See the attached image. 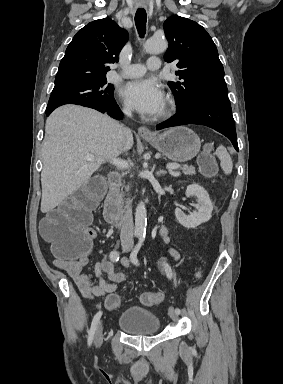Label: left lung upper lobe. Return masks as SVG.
Returning <instances> with one entry per match:
<instances>
[{
    "instance_id": "obj_1",
    "label": "left lung upper lobe",
    "mask_w": 283,
    "mask_h": 384,
    "mask_svg": "<svg viewBox=\"0 0 283 384\" xmlns=\"http://www.w3.org/2000/svg\"><path fill=\"white\" fill-rule=\"evenodd\" d=\"M169 48L166 62L177 61L181 82H168L177 111L206 100L228 99L224 69L218 51L207 31L195 21L177 15L163 24Z\"/></svg>"
}]
</instances>
